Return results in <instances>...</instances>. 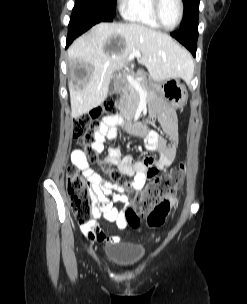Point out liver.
I'll return each mask as SVG.
<instances>
[{
	"label": "liver",
	"instance_id": "6515ba94",
	"mask_svg": "<svg viewBox=\"0 0 247 304\" xmlns=\"http://www.w3.org/2000/svg\"><path fill=\"white\" fill-rule=\"evenodd\" d=\"M133 51L142 54L140 62L154 81H188L192 77L190 55L169 35L138 23H99L68 49L70 64L79 63L88 69L82 88L69 83L73 118L88 113L106 99L113 73L126 65ZM142 73L138 70V74Z\"/></svg>",
	"mask_w": 247,
	"mask_h": 304
}]
</instances>
